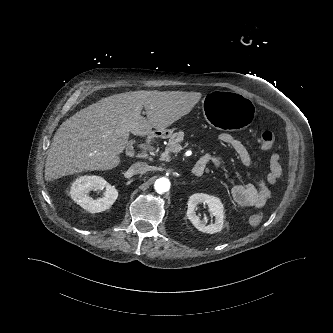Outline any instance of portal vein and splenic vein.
I'll list each match as a JSON object with an SVG mask.
<instances>
[{
  "mask_svg": "<svg viewBox=\"0 0 333 333\" xmlns=\"http://www.w3.org/2000/svg\"><path fill=\"white\" fill-rule=\"evenodd\" d=\"M165 155V152L162 154V156H164Z\"/></svg>",
  "mask_w": 333,
  "mask_h": 333,
  "instance_id": "portal-vein-and-splenic-vein-1",
  "label": "portal vein and splenic vein"
}]
</instances>
